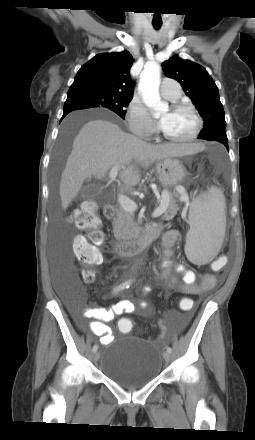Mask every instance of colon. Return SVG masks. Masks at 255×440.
<instances>
[{
	"label": "colon",
	"instance_id": "5ec220e1",
	"mask_svg": "<svg viewBox=\"0 0 255 440\" xmlns=\"http://www.w3.org/2000/svg\"><path fill=\"white\" fill-rule=\"evenodd\" d=\"M76 227L85 232V236H77L73 247L76 257L89 267L83 275L86 282L94 278V267L102 262V254L99 247L105 242V235L101 231V220L96 212V205L91 201L84 202L74 215ZM212 277V276H207ZM178 304L181 311H194L193 298H179ZM133 322L129 318H122L118 322V328L123 333L132 330Z\"/></svg>",
	"mask_w": 255,
	"mask_h": 440
}]
</instances>
